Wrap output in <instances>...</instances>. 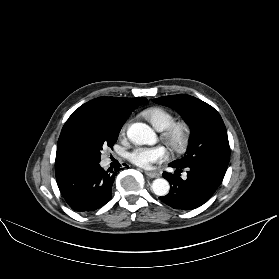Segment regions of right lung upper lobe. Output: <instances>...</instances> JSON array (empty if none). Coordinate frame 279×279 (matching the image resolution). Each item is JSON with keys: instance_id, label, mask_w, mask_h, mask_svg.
Returning <instances> with one entry per match:
<instances>
[{"instance_id": "obj_1", "label": "right lung upper lobe", "mask_w": 279, "mask_h": 279, "mask_svg": "<svg viewBox=\"0 0 279 279\" xmlns=\"http://www.w3.org/2000/svg\"><path fill=\"white\" fill-rule=\"evenodd\" d=\"M146 98L99 97L76 109L62 128L55 160V170L75 163L70 152V141L74 133L84 124L92 121L124 123L130 111Z\"/></svg>"}]
</instances>
